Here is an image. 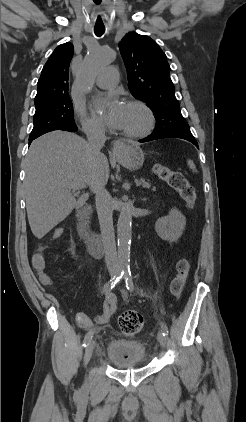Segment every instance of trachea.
Instances as JSON below:
<instances>
[{
  "label": "trachea",
  "mask_w": 246,
  "mask_h": 422,
  "mask_svg": "<svg viewBox=\"0 0 246 422\" xmlns=\"http://www.w3.org/2000/svg\"><path fill=\"white\" fill-rule=\"evenodd\" d=\"M105 32V27H95L94 28V33L96 36L100 37L104 34Z\"/></svg>",
  "instance_id": "1"
}]
</instances>
